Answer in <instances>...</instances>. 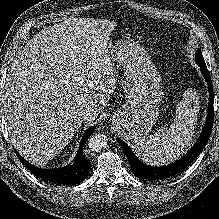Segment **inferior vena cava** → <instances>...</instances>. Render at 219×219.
Wrapping results in <instances>:
<instances>
[{
    "mask_svg": "<svg viewBox=\"0 0 219 219\" xmlns=\"http://www.w3.org/2000/svg\"><path fill=\"white\" fill-rule=\"evenodd\" d=\"M79 116L86 120L88 118H95L97 116V113L91 109H83L80 111Z\"/></svg>",
    "mask_w": 219,
    "mask_h": 219,
    "instance_id": "1",
    "label": "inferior vena cava"
}]
</instances>
